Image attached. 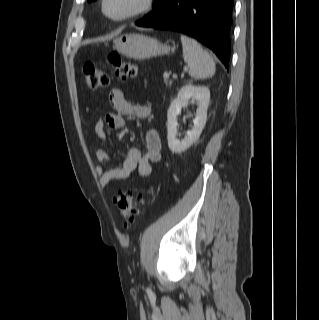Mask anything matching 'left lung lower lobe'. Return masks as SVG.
<instances>
[{
	"label": "left lung lower lobe",
	"instance_id": "0a47b994",
	"mask_svg": "<svg viewBox=\"0 0 319 320\" xmlns=\"http://www.w3.org/2000/svg\"><path fill=\"white\" fill-rule=\"evenodd\" d=\"M233 4L234 0H163L135 24L187 34L211 49L228 68Z\"/></svg>",
	"mask_w": 319,
	"mask_h": 320
}]
</instances>
